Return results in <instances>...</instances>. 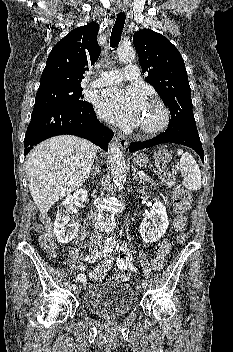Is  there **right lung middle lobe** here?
<instances>
[{
  "mask_svg": "<svg viewBox=\"0 0 233 352\" xmlns=\"http://www.w3.org/2000/svg\"><path fill=\"white\" fill-rule=\"evenodd\" d=\"M81 85L51 84L39 87L33 110L51 107H76L88 104L83 100Z\"/></svg>",
  "mask_w": 233,
  "mask_h": 352,
  "instance_id": "obj_1",
  "label": "right lung middle lobe"
}]
</instances>
